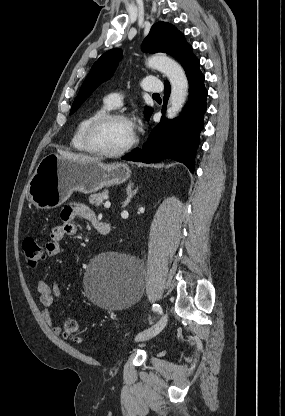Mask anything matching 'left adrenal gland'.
<instances>
[{"mask_svg": "<svg viewBox=\"0 0 285 416\" xmlns=\"http://www.w3.org/2000/svg\"><path fill=\"white\" fill-rule=\"evenodd\" d=\"M133 186H134L133 182H130V184H128V186L126 188L127 198H126L124 204H122V208H126V206H128V204H129V202H131V198H133V196H135V194H137L138 188H136V190H132Z\"/></svg>", "mask_w": 285, "mask_h": 416, "instance_id": "a2214340", "label": "left adrenal gland"}]
</instances>
